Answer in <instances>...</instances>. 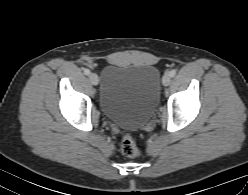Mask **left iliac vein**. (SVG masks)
<instances>
[{"instance_id":"left-iliac-vein-1","label":"left iliac vein","mask_w":248,"mask_h":195,"mask_svg":"<svg viewBox=\"0 0 248 195\" xmlns=\"http://www.w3.org/2000/svg\"><path fill=\"white\" fill-rule=\"evenodd\" d=\"M162 83L164 86H168L171 83V77L169 74L163 76Z\"/></svg>"}]
</instances>
